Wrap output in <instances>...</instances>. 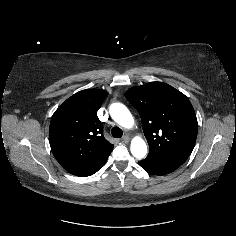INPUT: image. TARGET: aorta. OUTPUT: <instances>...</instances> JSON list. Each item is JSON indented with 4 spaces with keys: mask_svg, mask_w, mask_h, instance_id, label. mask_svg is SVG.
Segmentation results:
<instances>
[{
    "mask_svg": "<svg viewBox=\"0 0 236 236\" xmlns=\"http://www.w3.org/2000/svg\"><path fill=\"white\" fill-rule=\"evenodd\" d=\"M112 119L124 128H131L134 124V119L128 108L122 103H113L109 108ZM132 155L135 158L142 159L147 154V145L140 137H135L130 146Z\"/></svg>",
    "mask_w": 236,
    "mask_h": 236,
    "instance_id": "762f6f07",
    "label": "aorta"
}]
</instances>
